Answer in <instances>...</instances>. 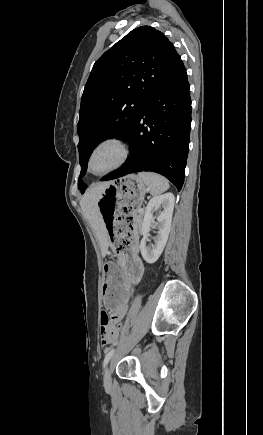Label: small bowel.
<instances>
[{"mask_svg": "<svg viewBox=\"0 0 263 435\" xmlns=\"http://www.w3.org/2000/svg\"><path fill=\"white\" fill-rule=\"evenodd\" d=\"M131 261L139 262L141 265L139 269H141L142 273H143V265H142V262H141L136 251L133 252V254L131 256ZM127 310H128L127 305H120L119 310H111L112 311V321H104L103 328H104V330H107V333L109 334L111 341H114L118 338L119 332H120V329L117 328L118 321H121L124 318V316L127 313ZM111 347H112V344L109 341H104L102 343V348L104 350H109Z\"/></svg>", "mask_w": 263, "mask_h": 435, "instance_id": "obj_1", "label": "small bowel"}]
</instances>
